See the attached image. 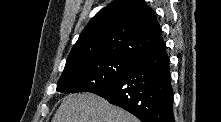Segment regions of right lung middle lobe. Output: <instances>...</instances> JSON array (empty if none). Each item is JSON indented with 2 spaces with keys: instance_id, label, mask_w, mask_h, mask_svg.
I'll use <instances>...</instances> for the list:
<instances>
[{
  "instance_id": "dd1d6c3e",
  "label": "right lung middle lobe",
  "mask_w": 221,
  "mask_h": 122,
  "mask_svg": "<svg viewBox=\"0 0 221 122\" xmlns=\"http://www.w3.org/2000/svg\"><path fill=\"white\" fill-rule=\"evenodd\" d=\"M134 59L125 56H103L65 69L57 83L61 93L91 92L120 78Z\"/></svg>"
}]
</instances>
